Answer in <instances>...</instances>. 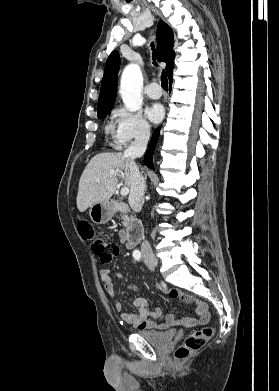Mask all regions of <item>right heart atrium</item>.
<instances>
[{"label":"right heart atrium","mask_w":279,"mask_h":391,"mask_svg":"<svg viewBox=\"0 0 279 391\" xmlns=\"http://www.w3.org/2000/svg\"><path fill=\"white\" fill-rule=\"evenodd\" d=\"M150 135V124L138 111L117 107L113 111L112 144L122 149L133 141H145Z\"/></svg>","instance_id":"obj_1"}]
</instances>
